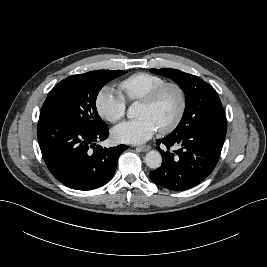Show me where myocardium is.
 <instances>
[{"instance_id":"1","label":"myocardium","mask_w":267,"mask_h":267,"mask_svg":"<svg viewBox=\"0 0 267 267\" xmlns=\"http://www.w3.org/2000/svg\"><path fill=\"white\" fill-rule=\"evenodd\" d=\"M169 88H172L177 92L179 97V108L173 120L166 126L159 128V132L162 134L173 131L180 124L185 114L187 100L183 87L176 82H165L153 89L147 96L140 100V102L145 105H154L163 94V92Z\"/></svg>"}]
</instances>
